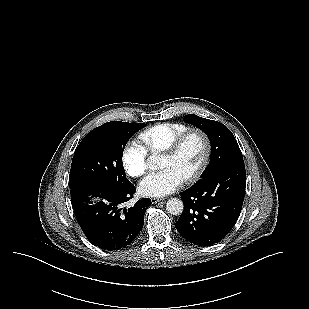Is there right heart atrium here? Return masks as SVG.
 Returning a JSON list of instances; mask_svg holds the SVG:
<instances>
[{
    "label": "right heart atrium",
    "mask_w": 309,
    "mask_h": 309,
    "mask_svg": "<svg viewBox=\"0 0 309 309\" xmlns=\"http://www.w3.org/2000/svg\"><path fill=\"white\" fill-rule=\"evenodd\" d=\"M147 151L136 141L129 142L122 152V163L132 177H140L147 171Z\"/></svg>",
    "instance_id": "1"
}]
</instances>
